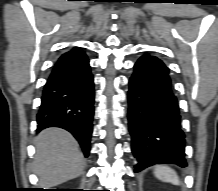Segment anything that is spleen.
Returning a JSON list of instances; mask_svg holds the SVG:
<instances>
[{
	"mask_svg": "<svg viewBox=\"0 0 218 191\" xmlns=\"http://www.w3.org/2000/svg\"><path fill=\"white\" fill-rule=\"evenodd\" d=\"M154 175L157 179L163 182L172 183L174 185L180 184L178 175L175 172V170H173L167 165L156 166L154 170Z\"/></svg>",
	"mask_w": 218,
	"mask_h": 191,
	"instance_id": "spleen-1",
	"label": "spleen"
}]
</instances>
